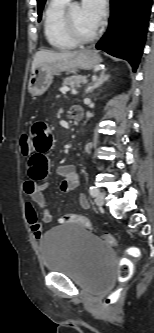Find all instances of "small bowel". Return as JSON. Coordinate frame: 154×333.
Returning a JSON list of instances; mask_svg holds the SVG:
<instances>
[{"label": "small bowel", "mask_w": 154, "mask_h": 333, "mask_svg": "<svg viewBox=\"0 0 154 333\" xmlns=\"http://www.w3.org/2000/svg\"><path fill=\"white\" fill-rule=\"evenodd\" d=\"M32 153L28 158V180L24 182L23 190L41 209L39 220L35 209L31 204L26 206V216L30 228L37 239L42 237L41 222L50 223L52 213L47 206L46 192L49 185L42 182L49 171L48 152L53 144V136L50 127L42 121L35 122L29 130ZM56 174L62 178L60 189L63 192H70L79 185V176L74 166L63 165L57 168ZM79 205L83 209L89 208V201L83 194L79 196Z\"/></svg>", "instance_id": "small-bowel-1"}]
</instances>
